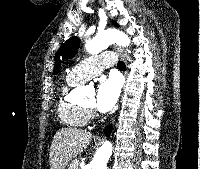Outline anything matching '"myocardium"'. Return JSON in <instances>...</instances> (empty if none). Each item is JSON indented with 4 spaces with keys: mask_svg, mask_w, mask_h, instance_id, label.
I'll use <instances>...</instances> for the list:
<instances>
[{
    "mask_svg": "<svg viewBox=\"0 0 200 169\" xmlns=\"http://www.w3.org/2000/svg\"><path fill=\"white\" fill-rule=\"evenodd\" d=\"M89 111L94 112V107L93 106H88Z\"/></svg>",
    "mask_w": 200,
    "mask_h": 169,
    "instance_id": "f54148a6",
    "label": "myocardium"
}]
</instances>
